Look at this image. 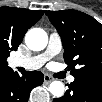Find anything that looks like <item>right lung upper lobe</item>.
<instances>
[{
    "label": "right lung upper lobe",
    "mask_w": 102,
    "mask_h": 102,
    "mask_svg": "<svg viewBox=\"0 0 102 102\" xmlns=\"http://www.w3.org/2000/svg\"><path fill=\"white\" fill-rule=\"evenodd\" d=\"M43 10L3 6L0 8V54L16 50L27 32L43 15ZM7 67H4V69Z\"/></svg>",
    "instance_id": "right-lung-upper-lobe-1"
}]
</instances>
